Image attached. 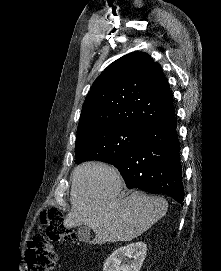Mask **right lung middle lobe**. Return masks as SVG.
Masks as SVG:
<instances>
[{"instance_id":"dd1d6c3e","label":"right lung middle lobe","mask_w":221,"mask_h":271,"mask_svg":"<svg viewBox=\"0 0 221 271\" xmlns=\"http://www.w3.org/2000/svg\"><path fill=\"white\" fill-rule=\"evenodd\" d=\"M144 128L116 125L76 138V164L97 160L113 164L139 141Z\"/></svg>"}]
</instances>
